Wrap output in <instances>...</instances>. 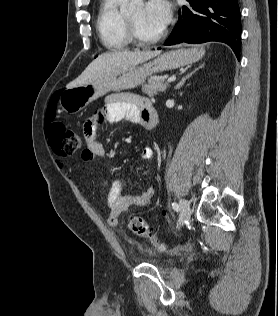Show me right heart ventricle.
I'll return each mask as SVG.
<instances>
[{"mask_svg":"<svg viewBox=\"0 0 278 316\" xmlns=\"http://www.w3.org/2000/svg\"><path fill=\"white\" fill-rule=\"evenodd\" d=\"M126 0H101L96 28L101 43L110 50H122L127 48L129 39L125 15L121 7Z\"/></svg>","mask_w":278,"mask_h":316,"instance_id":"e07e8e85","label":"right heart ventricle"}]
</instances>
